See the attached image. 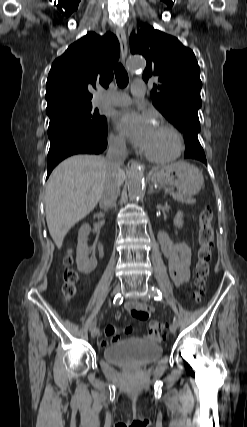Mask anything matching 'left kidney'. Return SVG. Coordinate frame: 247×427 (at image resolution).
<instances>
[{
    "label": "left kidney",
    "mask_w": 247,
    "mask_h": 427,
    "mask_svg": "<svg viewBox=\"0 0 247 427\" xmlns=\"http://www.w3.org/2000/svg\"><path fill=\"white\" fill-rule=\"evenodd\" d=\"M174 226L177 228H181L183 226V213L181 211H178L175 216Z\"/></svg>",
    "instance_id": "obj_1"
}]
</instances>
